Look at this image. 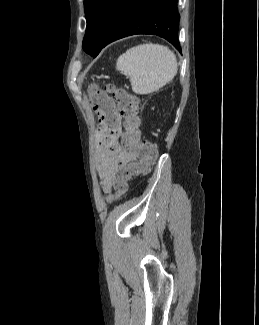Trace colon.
Wrapping results in <instances>:
<instances>
[{
    "label": "colon",
    "mask_w": 259,
    "mask_h": 325,
    "mask_svg": "<svg viewBox=\"0 0 259 325\" xmlns=\"http://www.w3.org/2000/svg\"><path fill=\"white\" fill-rule=\"evenodd\" d=\"M89 97L99 116L100 130L111 132L119 129L116 114L123 119V141L138 157L137 163L115 174L113 192L106 198L108 203H112L126 194L131 177L151 170L157 159V149L154 144L141 140L139 100L136 96L122 87L108 84L104 88L92 86ZM93 132L96 134L98 131L95 129Z\"/></svg>",
    "instance_id": "colon-1"
}]
</instances>
